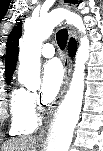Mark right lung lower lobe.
I'll list each match as a JSON object with an SVG mask.
<instances>
[{"label": "right lung lower lobe", "mask_w": 103, "mask_h": 151, "mask_svg": "<svg viewBox=\"0 0 103 151\" xmlns=\"http://www.w3.org/2000/svg\"><path fill=\"white\" fill-rule=\"evenodd\" d=\"M69 52H70V56H74L76 52V43L74 39H71V42L69 44Z\"/></svg>", "instance_id": "right-lung-lower-lobe-1"}]
</instances>
